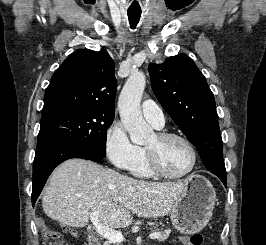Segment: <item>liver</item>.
Returning <instances> with one entry per match:
<instances>
[{
  "mask_svg": "<svg viewBox=\"0 0 266 245\" xmlns=\"http://www.w3.org/2000/svg\"><path fill=\"white\" fill-rule=\"evenodd\" d=\"M185 183H145L92 161L69 159L53 171L43 191L45 215L66 227H86L93 211L110 229H125L137 217H165Z\"/></svg>",
  "mask_w": 266,
  "mask_h": 245,
  "instance_id": "6515ba94",
  "label": "liver"
}]
</instances>
